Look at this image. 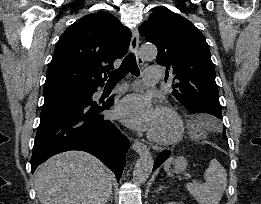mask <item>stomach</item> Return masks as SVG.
I'll return each mask as SVG.
<instances>
[{
	"label": "stomach",
	"mask_w": 261,
	"mask_h": 204,
	"mask_svg": "<svg viewBox=\"0 0 261 204\" xmlns=\"http://www.w3.org/2000/svg\"><path fill=\"white\" fill-rule=\"evenodd\" d=\"M173 165H174V172L181 173L186 169L188 163L184 157L178 156L173 160Z\"/></svg>",
	"instance_id": "obj_1"
}]
</instances>
